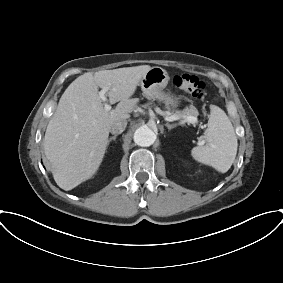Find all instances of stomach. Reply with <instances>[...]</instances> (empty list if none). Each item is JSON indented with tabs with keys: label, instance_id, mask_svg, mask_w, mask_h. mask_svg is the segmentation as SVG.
<instances>
[{
	"label": "stomach",
	"instance_id": "0dacf381",
	"mask_svg": "<svg viewBox=\"0 0 283 283\" xmlns=\"http://www.w3.org/2000/svg\"><path fill=\"white\" fill-rule=\"evenodd\" d=\"M169 75L161 67H152L140 80V86L147 98L164 102L169 108H177L179 98L174 94L165 92Z\"/></svg>",
	"mask_w": 283,
	"mask_h": 283
}]
</instances>
